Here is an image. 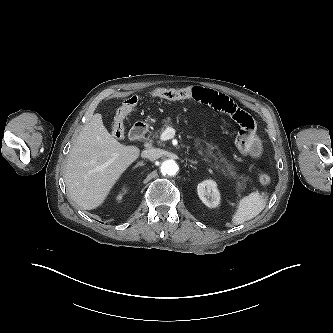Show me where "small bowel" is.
Segmentation results:
<instances>
[{
    "instance_id": "c3829d8e",
    "label": "small bowel",
    "mask_w": 333,
    "mask_h": 333,
    "mask_svg": "<svg viewBox=\"0 0 333 333\" xmlns=\"http://www.w3.org/2000/svg\"><path fill=\"white\" fill-rule=\"evenodd\" d=\"M192 91V100L206 104L211 108L224 112L239 124L241 130L236 139V147L243 155L257 158L262 150L261 141L255 131L252 116L240 108L229 96L201 86L188 88Z\"/></svg>"
}]
</instances>
